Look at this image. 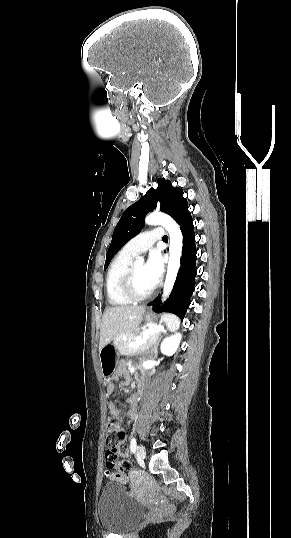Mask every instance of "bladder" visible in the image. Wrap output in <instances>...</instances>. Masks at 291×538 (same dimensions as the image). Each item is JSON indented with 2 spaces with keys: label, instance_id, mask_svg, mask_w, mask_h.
Listing matches in <instances>:
<instances>
[{
  "label": "bladder",
  "instance_id": "bladder-1",
  "mask_svg": "<svg viewBox=\"0 0 291 538\" xmlns=\"http://www.w3.org/2000/svg\"><path fill=\"white\" fill-rule=\"evenodd\" d=\"M97 512L104 530L123 534L141 519L145 509L129 498L119 483H108L99 497Z\"/></svg>",
  "mask_w": 291,
  "mask_h": 538
}]
</instances>
